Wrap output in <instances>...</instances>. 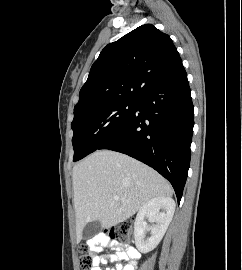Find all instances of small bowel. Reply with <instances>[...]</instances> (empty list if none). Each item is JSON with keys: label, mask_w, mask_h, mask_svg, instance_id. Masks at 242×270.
Listing matches in <instances>:
<instances>
[{"label": "small bowel", "mask_w": 242, "mask_h": 270, "mask_svg": "<svg viewBox=\"0 0 242 270\" xmlns=\"http://www.w3.org/2000/svg\"><path fill=\"white\" fill-rule=\"evenodd\" d=\"M89 247L94 252H99L103 247H109L115 250V253L109 257L97 255L93 258L91 270H136L137 260L140 258V252L133 246L110 240L103 235H97L89 242ZM123 261L126 263L124 264ZM105 264H112V267L103 269Z\"/></svg>", "instance_id": "obj_1"}]
</instances>
